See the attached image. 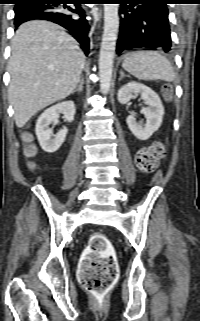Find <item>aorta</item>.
Listing matches in <instances>:
<instances>
[{
  "mask_svg": "<svg viewBox=\"0 0 200 321\" xmlns=\"http://www.w3.org/2000/svg\"><path fill=\"white\" fill-rule=\"evenodd\" d=\"M118 28V4H104V32L99 55L100 89L103 94H107L111 87Z\"/></svg>",
  "mask_w": 200,
  "mask_h": 321,
  "instance_id": "aorta-1",
  "label": "aorta"
}]
</instances>
